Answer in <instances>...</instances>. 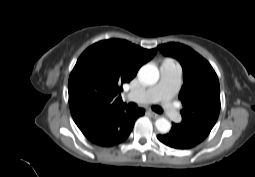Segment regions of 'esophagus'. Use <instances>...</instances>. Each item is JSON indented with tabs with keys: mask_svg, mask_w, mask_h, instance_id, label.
I'll use <instances>...</instances> for the list:
<instances>
[{
	"mask_svg": "<svg viewBox=\"0 0 255 177\" xmlns=\"http://www.w3.org/2000/svg\"><path fill=\"white\" fill-rule=\"evenodd\" d=\"M147 112L153 117V118H158L160 117L159 114L153 112L152 110L148 109Z\"/></svg>",
	"mask_w": 255,
	"mask_h": 177,
	"instance_id": "1",
	"label": "esophagus"
}]
</instances>
